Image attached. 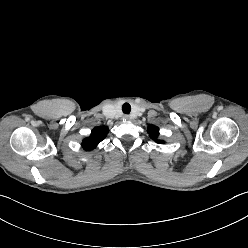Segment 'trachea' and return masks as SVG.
<instances>
[{
	"mask_svg": "<svg viewBox=\"0 0 248 248\" xmlns=\"http://www.w3.org/2000/svg\"><path fill=\"white\" fill-rule=\"evenodd\" d=\"M122 111L125 113V114H129L130 111H131V106L129 103H124L123 106H122Z\"/></svg>",
	"mask_w": 248,
	"mask_h": 248,
	"instance_id": "1",
	"label": "trachea"
}]
</instances>
